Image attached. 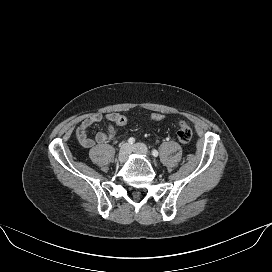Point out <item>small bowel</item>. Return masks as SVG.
I'll list each match as a JSON object with an SVG mask.
<instances>
[{
	"mask_svg": "<svg viewBox=\"0 0 272 272\" xmlns=\"http://www.w3.org/2000/svg\"><path fill=\"white\" fill-rule=\"evenodd\" d=\"M118 113L111 112L103 115L100 112L92 113L86 116L76 129L75 136L81 146L91 148L95 145H100L112 140L118 132V127L115 123ZM105 119L107 128L103 132H98L93 138L88 135V129L95 123Z\"/></svg>",
	"mask_w": 272,
	"mask_h": 272,
	"instance_id": "1",
	"label": "small bowel"
}]
</instances>
